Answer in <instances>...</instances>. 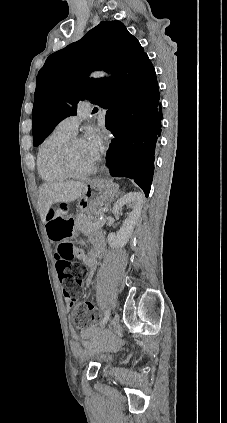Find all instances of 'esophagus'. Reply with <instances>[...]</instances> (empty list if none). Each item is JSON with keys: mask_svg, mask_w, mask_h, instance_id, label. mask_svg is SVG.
<instances>
[{"mask_svg": "<svg viewBox=\"0 0 227 423\" xmlns=\"http://www.w3.org/2000/svg\"><path fill=\"white\" fill-rule=\"evenodd\" d=\"M110 142H111V139L108 137L107 142H106L107 147H109ZM107 172H108V168L106 166H104L101 170V174H106Z\"/></svg>", "mask_w": 227, "mask_h": 423, "instance_id": "esophagus-1", "label": "esophagus"}]
</instances>
